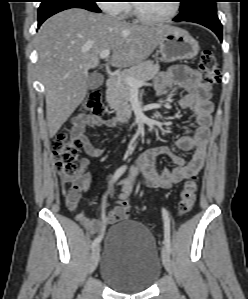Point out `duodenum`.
I'll return each mask as SVG.
<instances>
[{
	"label": "duodenum",
	"instance_id": "1",
	"mask_svg": "<svg viewBox=\"0 0 248 299\" xmlns=\"http://www.w3.org/2000/svg\"><path fill=\"white\" fill-rule=\"evenodd\" d=\"M116 86V79L114 77H108L106 80V87L108 91H112ZM129 119V116L125 113H120L114 117V121L121 123Z\"/></svg>",
	"mask_w": 248,
	"mask_h": 299
}]
</instances>
